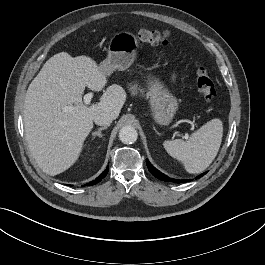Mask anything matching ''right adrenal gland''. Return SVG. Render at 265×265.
Masks as SVG:
<instances>
[{
    "instance_id": "right-adrenal-gland-1",
    "label": "right adrenal gland",
    "mask_w": 265,
    "mask_h": 265,
    "mask_svg": "<svg viewBox=\"0 0 265 265\" xmlns=\"http://www.w3.org/2000/svg\"><path fill=\"white\" fill-rule=\"evenodd\" d=\"M105 129H107V126L101 127V128L98 129V131L93 132L92 133L93 138H95V136H98L99 138H101L102 137V133L101 132H102V130H105Z\"/></svg>"
}]
</instances>
